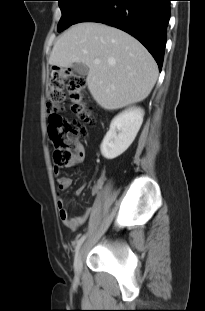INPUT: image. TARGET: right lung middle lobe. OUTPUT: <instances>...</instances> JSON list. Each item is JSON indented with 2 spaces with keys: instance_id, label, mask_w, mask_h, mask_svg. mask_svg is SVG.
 Returning a JSON list of instances; mask_svg holds the SVG:
<instances>
[{
  "instance_id": "obj_1",
  "label": "right lung middle lobe",
  "mask_w": 205,
  "mask_h": 311,
  "mask_svg": "<svg viewBox=\"0 0 205 311\" xmlns=\"http://www.w3.org/2000/svg\"><path fill=\"white\" fill-rule=\"evenodd\" d=\"M62 17L58 23V32L63 31L83 14L93 0H58Z\"/></svg>"
}]
</instances>
